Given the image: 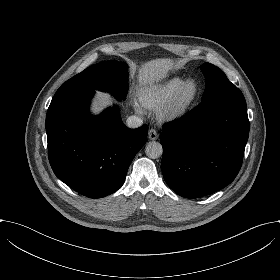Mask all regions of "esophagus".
Listing matches in <instances>:
<instances>
[{
  "label": "esophagus",
  "instance_id": "obj_1",
  "mask_svg": "<svg viewBox=\"0 0 280 280\" xmlns=\"http://www.w3.org/2000/svg\"><path fill=\"white\" fill-rule=\"evenodd\" d=\"M148 138L151 140V141H155L158 139V133L155 129H150L148 131Z\"/></svg>",
  "mask_w": 280,
  "mask_h": 280
}]
</instances>
